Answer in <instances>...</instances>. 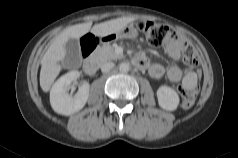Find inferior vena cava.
<instances>
[{"label": "inferior vena cava", "instance_id": "obj_1", "mask_svg": "<svg viewBox=\"0 0 238 158\" xmlns=\"http://www.w3.org/2000/svg\"><path fill=\"white\" fill-rule=\"evenodd\" d=\"M113 67H114V63H113V62H106V63L102 64L101 70H102L103 73H107V72H109Z\"/></svg>", "mask_w": 238, "mask_h": 158}]
</instances>
